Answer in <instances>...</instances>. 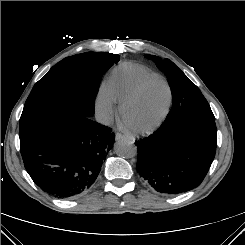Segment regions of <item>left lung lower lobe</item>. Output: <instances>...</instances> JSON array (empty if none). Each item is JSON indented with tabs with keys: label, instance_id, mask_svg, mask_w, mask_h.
Segmentation results:
<instances>
[{
	"label": "left lung lower lobe",
	"instance_id": "obj_1",
	"mask_svg": "<svg viewBox=\"0 0 245 245\" xmlns=\"http://www.w3.org/2000/svg\"><path fill=\"white\" fill-rule=\"evenodd\" d=\"M137 170L156 191L176 195L197 187L215 157V118L185 113L137 141Z\"/></svg>",
	"mask_w": 245,
	"mask_h": 245
}]
</instances>
